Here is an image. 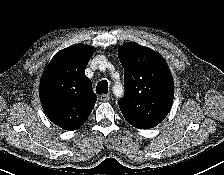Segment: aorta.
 Segmentation results:
<instances>
[{
    "mask_svg": "<svg viewBox=\"0 0 224 175\" xmlns=\"http://www.w3.org/2000/svg\"><path fill=\"white\" fill-rule=\"evenodd\" d=\"M114 92H115V94L117 95V96H122V94H123V86L122 85H120V84H118V85H116L115 87H114Z\"/></svg>",
    "mask_w": 224,
    "mask_h": 175,
    "instance_id": "1",
    "label": "aorta"
}]
</instances>
